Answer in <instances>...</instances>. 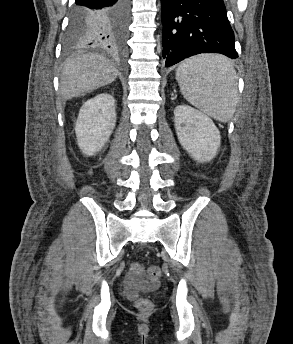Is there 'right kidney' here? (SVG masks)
<instances>
[{
    "mask_svg": "<svg viewBox=\"0 0 293 344\" xmlns=\"http://www.w3.org/2000/svg\"><path fill=\"white\" fill-rule=\"evenodd\" d=\"M116 123L115 100L101 93L86 101L81 107L75 125L80 150L95 155L108 142Z\"/></svg>",
    "mask_w": 293,
    "mask_h": 344,
    "instance_id": "ca27d5eb",
    "label": "right kidney"
}]
</instances>
